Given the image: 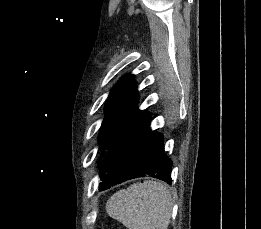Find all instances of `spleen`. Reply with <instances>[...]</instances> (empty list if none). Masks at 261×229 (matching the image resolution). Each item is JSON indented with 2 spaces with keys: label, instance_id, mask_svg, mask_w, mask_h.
Returning a JSON list of instances; mask_svg holds the SVG:
<instances>
[{
  "label": "spleen",
  "instance_id": "3e777b00",
  "mask_svg": "<svg viewBox=\"0 0 261 229\" xmlns=\"http://www.w3.org/2000/svg\"><path fill=\"white\" fill-rule=\"evenodd\" d=\"M172 209L170 193L156 181L134 183L117 191L106 203L109 217L127 229H168Z\"/></svg>",
  "mask_w": 261,
  "mask_h": 229
}]
</instances>
